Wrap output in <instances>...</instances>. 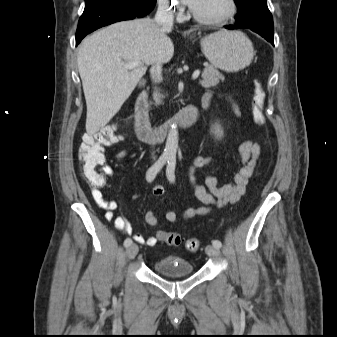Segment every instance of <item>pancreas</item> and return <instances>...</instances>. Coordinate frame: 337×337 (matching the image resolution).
<instances>
[{
  "mask_svg": "<svg viewBox=\"0 0 337 337\" xmlns=\"http://www.w3.org/2000/svg\"><path fill=\"white\" fill-rule=\"evenodd\" d=\"M202 78L203 79L200 81V84L206 89L214 87L219 83L220 80H224V76L214 66L209 64H205ZM157 100L159 101V99Z\"/></svg>",
  "mask_w": 337,
  "mask_h": 337,
  "instance_id": "pancreas-1",
  "label": "pancreas"
}]
</instances>
